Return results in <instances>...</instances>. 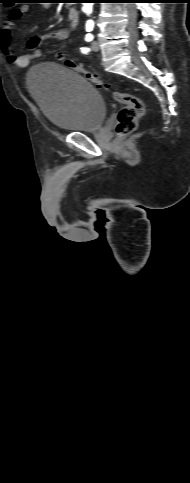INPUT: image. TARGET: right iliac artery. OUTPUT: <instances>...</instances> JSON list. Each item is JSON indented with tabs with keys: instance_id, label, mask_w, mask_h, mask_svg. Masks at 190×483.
<instances>
[{
	"instance_id": "obj_1",
	"label": "right iliac artery",
	"mask_w": 190,
	"mask_h": 483,
	"mask_svg": "<svg viewBox=\"0 0 190 483\" xmlns=\"http://www.w3.org/2000/svg\"><path fill=\"white\" fill-rule=\"evenodd\" d=\"M93 26H94L93 24L87 23L86 24V31H88V32L91 31L93 29Z\"/></svg>"
}]
</instances>
